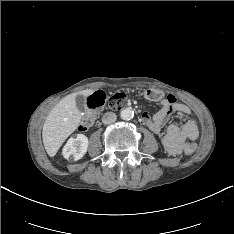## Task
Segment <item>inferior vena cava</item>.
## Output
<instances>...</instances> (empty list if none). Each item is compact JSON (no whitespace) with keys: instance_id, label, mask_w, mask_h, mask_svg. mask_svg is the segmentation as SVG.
Segmentation results:
<instances>
[{"instance_id":"obj_1","label":"inferior vena cava","mask_w":234,"mask_h":234,"mask_svg":"<svg viewBox=\"0 0 234 234\" xmlns=\"http://www.w3.org/2000/svg\"><path fill=\"white\" fill-rule=\"evenodd\" d=\"M116 119H117V116H116L115 113H113V112H107V113H105L103 115L102 122L104 124H111V123L115 122Z\"/></svg>"}]
</instances>
